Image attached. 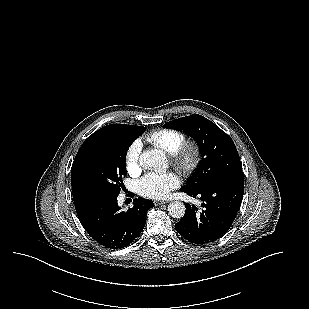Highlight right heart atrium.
Returning a JSON list of instances; mask_svg holds the SVG:
<instances>
[{"instance_id": "d8ad5b80", "label": "right heart atrium", "mask_w": 309, "mask_h": 309, "mask_svg": "<svg viewBox=\"0 0 309 309\" xmlns=\"http://www.w3.org/2000/svg\"><path fill=\"white\" fill-rule=\"evenodd\" d=\"M142 146L139 141H134L126 150L125 165L129 173L136 174L140 171V155Z\"/></svg>"}]
</instances>
